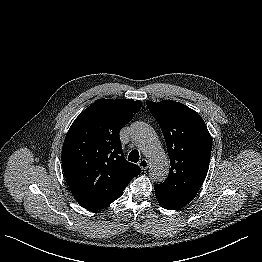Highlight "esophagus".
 <instances>
[{
	"label": "esophagus",
	"mask_w": 262,
	"mask_h": 262,
	"mask_svg": "<svg viewBox=\"0 0 262 262\" xmlns=\"http://www.w3.org/2000/svg\"><path fill=\"white\" fill-rule=\"evenodd\" d=\"M138 166H139L142 170H146V169H148V167H149V162H148V160H146V159H142V160H140V161L138 162Z\"/></svg>",
	"instance_id": "obj_1"
}]
</instances>
